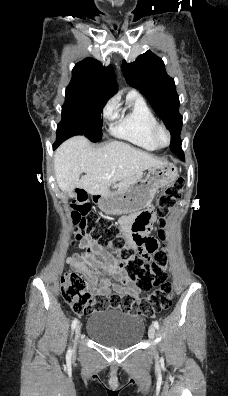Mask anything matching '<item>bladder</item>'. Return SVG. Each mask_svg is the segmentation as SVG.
<instances>
[{"instance_id": "bladder-1", "label": "bladder", "mask_w": 228, "mask_h": 396, "mask_svg": "<svg viewBox=\"0 0 228 396\" xmlns=\"http://www.w3.org/2000/svg\"><path fill=\"white\" fill-rule=\"evenodd\" d=\"M86 331L95 342L103 346L125 349L143 339L145 321L138 314L110 309L91 315Z\"/></svg>"}]
</instances>
